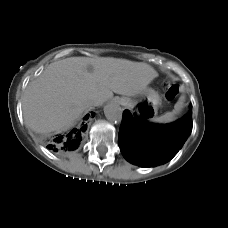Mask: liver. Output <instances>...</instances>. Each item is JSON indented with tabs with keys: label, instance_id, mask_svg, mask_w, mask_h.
I'll return each instance as SVG.
<instances>
[{
	"label": "liver",
	"instance_id": "liver-1",
	"mask_svg": "<svg viewBox=\"0 0 228 228\" xmlns=\"http://www.w3.org/2000/svg\"><path fill=\"white\" fill-rule=\"evenodd\" d=\"M88 65H92V72H88ZM157 76L144 62L110 57L59 60L28 85L22 104L25 124L37 133L68 128L86 109L87 100L100 106L113 92L140 95Z\"/></svg>",
	"mask_w": 228,
	"mask_h": 228
}]
</instances>
